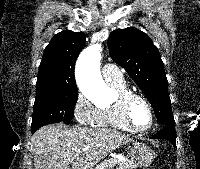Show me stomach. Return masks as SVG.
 Segmentation results:
<instances>
[{"label": "stomach", "instance_id": "obj_1", "mask_svg": "<svg viewBox=\"0 0 200 169\" xmlns=\"http://www.w3.org/2000/svg\"><path fill=\"white\" fill-rule=\"evenodd\" d=\"M129 156L136 166L143 167L149 166L155 158V154L151 148L141 142H135L129 146Z\"/></svg>", "mask_w": 200, "mask_h": 169}]
</instances>
